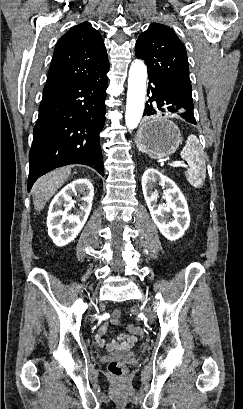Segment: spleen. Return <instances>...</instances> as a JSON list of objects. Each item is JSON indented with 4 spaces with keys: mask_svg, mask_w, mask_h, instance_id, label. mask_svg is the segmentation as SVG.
Masks as SVG:
<instances>
[{
    "mask_svg": "<svg viewBox=\"0 0 243 409\" xmlns=\"http://www.w3.org/2000/svg\"><path fill=\"white\" fill-rule=\"evenodd\" d=\"M181 157L188 163L189 168L185 171L188 182L199 188L204 184L206 177L205 161L201 157V146L195 135H190L181 151Z\"/></svg>",
    "mask_w": 243,
    "mask_h": 409,
    "instance_id": "spleen-1",
    "label": "spleen"
}]
</instances>
